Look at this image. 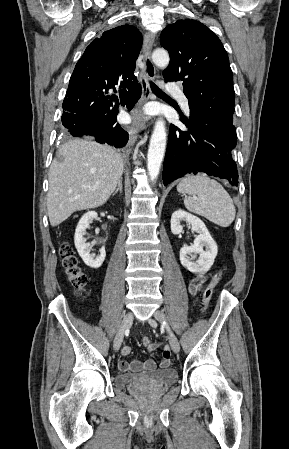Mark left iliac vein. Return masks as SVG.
I'll return each mask as SVG.
<instances>
[{
    "label": "left iliac vein",
    "mask_w": 289,
    "mask_h": 449,
    "mask_svg": "<svg viewBox=\"0 0 289 449\" xmlns=\"http://www.w3.org/2000/svg\"><path fill=\"white\" fill-rule=\"evenodd\" d=\"M153 316L159 322L163 323L166 321L165 314L160 310H156L154 312ZM148 322L152 327L157 326L156 322L153 319H149ZM168 331H169V342H170L171 349L173 350L174 353H178L180 350L179 342H178L177 338L174 336V334L172 332H170L169 329H168Z\"/></svg>",
    "instance_id": "1"
}]
</instances>
